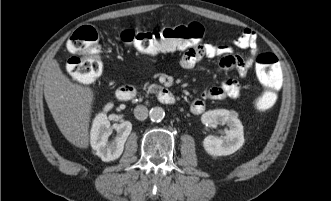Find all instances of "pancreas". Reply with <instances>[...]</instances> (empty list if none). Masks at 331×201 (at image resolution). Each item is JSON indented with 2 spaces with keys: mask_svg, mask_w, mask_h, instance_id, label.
Returning <instances> with one entry per match:
<instances>
[{
  "mask_svg": "<svg viewBox=\"0 0 331 201\" xmlns=\"http://www.w3.org/2000/svg\"><path fill=\"white\" fill-rule=\"evenodd\" d=\"M147 88L148 93H154L156 89L159 88L158 85L152 84V85H145V89Z\"/></svg>",
  "mask_w": 331,
  "mask_h": 201,
  "instance_id": "1",
  "label": "pancreas"
}]
</instances>
